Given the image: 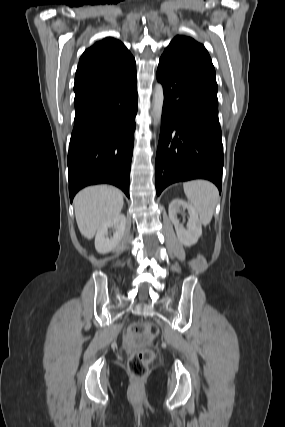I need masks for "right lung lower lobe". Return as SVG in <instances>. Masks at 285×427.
Segmentation results:
<instances>
[{"mask_svg":"<svg viewBox=\"0 0 285 427\" xmlns=\"http://www.w3.org/2000/svg\"><path fill=\"white\" fill-rule=\"evenodd\" d=\"M136 72L74 100L68 153L69 195L92 184H113L129 197L137 113Z\"/></svg>","mask_w":285,"mask_h":427,"instance_id":"obj_1","label":"right lung lower lobe"}]
</instances>
